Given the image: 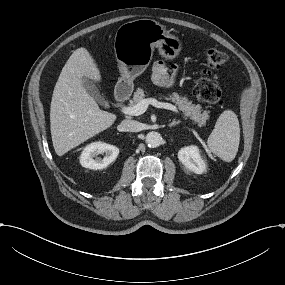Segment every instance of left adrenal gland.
<instances>
[{
  "instance_id": "obj_1",
  "label": "left adrenal gland",
  "mask_w": 285,
  "mask_h": 285,
  "mask_svg": "<svg viewBox=\"0 0 285 285\" xmlns=\"http://www.w3.org/2000/svg\"><path fill=\"white\" fill-rule=\"evenodd\" d=\"M181 122L180 121H172L169 125H168V127L169 128H172V127H174V126H176V125H178V124H180Z\"/></svg>"
}]
</instances>
